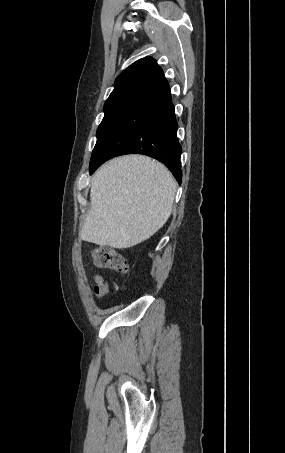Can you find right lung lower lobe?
Wrapping results in <instances>:
<instances>
[{
  "label": "right lung lower lobe",
  "mask_w": 285,
  "mask_h": 453,
  "mask_svg": "<svg viewBox=\"0 0 285 453\" xmlns=\"http://www.w3.org/2000/svg\"><path fill=\"white\" fill-rule=\"evenodd\" d=\"M177 127L170 86L161 74L129 96L117 111L90 160V174L113 157L137 153L162 162L181 184Z\"/></svg>",
  "instance_id": "obj_1"
}]
</instances>
